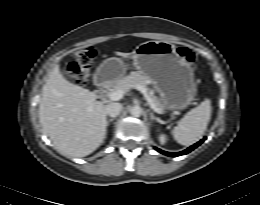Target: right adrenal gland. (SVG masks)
Segmentation results:
<instances>
[{"label":"right adrenal gland","instance_id":"right-adrenal-gland-1","mask_svg":"<svg viewBox=\"0 0 260 205\" xmlns=\"http://www.w3.org/2000/svg\"><path fill=\"white\" fill-rule=\"evenodd\" d=\"M114 120H115V118H111V119L107 120V122H106V127H108V126H109V123L112 122V121H114Z\"/></svg>","mask_w":260,"mask_h":205}]
</instances>
